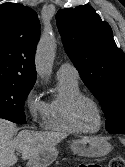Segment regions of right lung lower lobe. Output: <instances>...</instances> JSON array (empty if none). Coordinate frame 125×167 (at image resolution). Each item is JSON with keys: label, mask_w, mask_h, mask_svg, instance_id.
<instances>
[{"label": "right lung lower lobe", "mask_w": 125, "mask_h": 167, "mask_svg": "<svg viewBox=\"0 0 125 167\" xmlns=\"http://www.w3.org/2000/svg\"><path fill=\"white\" fill-rule=\"evenodd\" d=\"M0 118L12 121L14 123H25V120H26V119H18V118L12 117L10 115H7L5 113H0Z\"/></svg>", "instance_id": "98d812e1"}]
</instances>
